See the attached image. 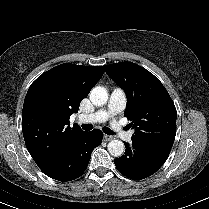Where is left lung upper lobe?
<instances>
[{
    "instance_id": "left-lung-upper-lobe-1",
    "label": "left lung upper lobe",
    "mask_w": 209,
    "mask_h": 209,
    "mask_svg": "<svg viewBox=\"0 0 209 209\" xmlns=\"http://www.w3.org/2000/svg\"><path fill=\"white\" fill-rule=\"evenodd\" d=\"M105 71L124 89V116L135 128L132 139L154 146L172 148L176 135V108L160 80L131 62L105 65Z\"/></svg>"
}]
</instances>
